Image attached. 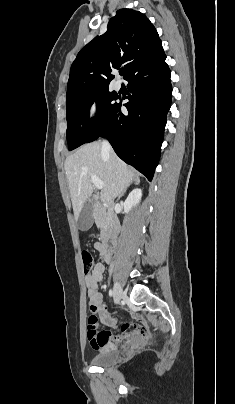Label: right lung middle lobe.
<instances>
[{"label": "right lung middle lobe", "instance_id": "obj_1", "mask_svg": "<svg viewBox=\"0 0 235 404\" xmlns=\"http://www.w3.org/2000/svg\"><path fill=\"white\" fill-rule=\"evenodd\" d=\"M117 98L114 92L105 89L66 102V136L69 150L87 142L101 125L109 110L116 104L114 101ZM94 101L97 103V114L90 119L89 110Z\"/></svg>", "mask_w": 235, "mask_h": 404}]
</instances>
